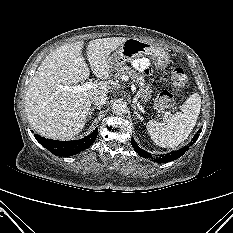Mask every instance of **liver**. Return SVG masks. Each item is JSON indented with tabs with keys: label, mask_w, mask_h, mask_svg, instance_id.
<instances>
[{
	"label": "liver",
	"mask_w": 233,
	"mask_h": 233,
	"mask_svg": "<svg viewBox=\"0 0 233 233\" xmlns=\"http://www.w3.org/2000/svg\"><path fill=\"white\" fill-rule=\"evenodd\" d=\"M127 38L112 37L89 42L86 54L95 76L106 80L112 73L110 53ZM83 41L65 44L53 50L38 67L30 82L25 107L31 127L51 139H70L83 129L90 111L91 99L106 95L110 89L101 82L96 90L79 93L61 90L86 80L90 70L82 56Z\"/></svg>",
	"instance_id": "liver-1"
}]
</instances>
